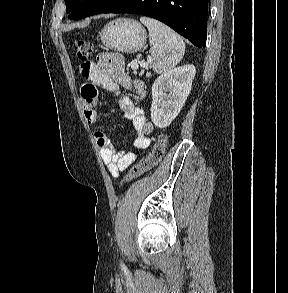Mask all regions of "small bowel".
I'll return each instance as SVG.
<instances>
[{
    "mask_svg": "<svg viewBox=\"0 0 288 293\" xmlns=\"http://www.w3.org/2000/svg\"><path fill=\"white\" fill-rule=\"evenodd\" d=\"M79 70L89 81L81 88V102L86 121L91 125L99 124L97 87H101L118 96V104L124 117L132 122L136 130L134 147L138 151L135 152H117L104 131L98 129L94 132L103 163L111 176L117 177L154 141L151 136L154 126L146 119L143 109L136 104L146 96L144 84L141 80H133L125 73L124 58L117 53H101L97 63L84 62ZM121 89L131 92V97L121 96Z\"/></svg>",
    "mask_w": 288,
    "mask_h": 293,
    "instance_id": "c3829d8e",
    "label": "small bowel"
}]
</instances>
